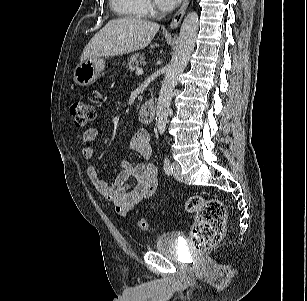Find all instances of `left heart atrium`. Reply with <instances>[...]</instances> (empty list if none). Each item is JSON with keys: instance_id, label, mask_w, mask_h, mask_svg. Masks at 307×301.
<instances>
[{"instance_id": "39dd6f15", "label": "left heart atrium", "mask_w": 307, "mask_h": 301, "mask_svg": "<svg viewBox=\"0 0 307 301\" xmlns=\"http://www.w3.org/2000/svg\"><path fill=\"white\" fill-rule=\"evenodd\" d=\"M157 5L163 9H171L177 6L181 0H155Z\"/></svg>"}]
</instances>
